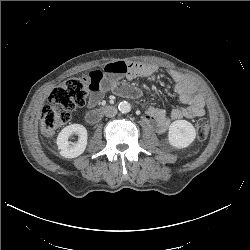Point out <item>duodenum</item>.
<instances>
[{"mask_svg": "<svg viewBox=\"0 0 250 250\" xmlns=\"http://www.w3.org/2000/svg\"><path fill=\"white\" fill-rule=\"evenodd\" d=\"M104 106L92 109L86 114V121L90 124L97 123L102 117Z\"/></svg>", "mask_w": 250, "mask_h": 250, "instance_id": "1", "label": "duodenum"}]
</instances>
